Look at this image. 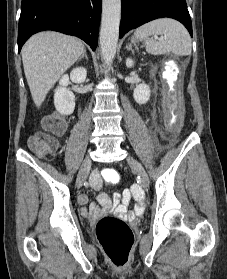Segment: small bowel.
<instances>
[{"label": "small bowel", "mask_w": 227, "mask_h": 279, "mask_svg": "<svg viewBox=\"0 0 227 279\" xmlns=\"http://www.w3.org/2000/svg\"><path fill=\"white\" fill-rule=\"evenodd\" d=\"M114 169L106 168L101 170L100 172L95 171L91 174L89 178V184L90 187L93 189H96L100 191L98 199L100 204L106 209V210H116L120 214H128V204L129 200L126 198L121 202V194L120 193H114L112 197H109L106 193L102 192V182L105 180L104 173L111 171ZM131 191L133 193L139 194L141 192V189L138 185H132ZM80 204H85L87 202V196L81 195L78 198ZM146 204L143 201H139L137 204V211L141 212L143 208H145ZM99 212L98 205L91 204L88 207H81V213L85 216L95 215Z\"/></svg>", "instance_id": "1"}]
</instances>
